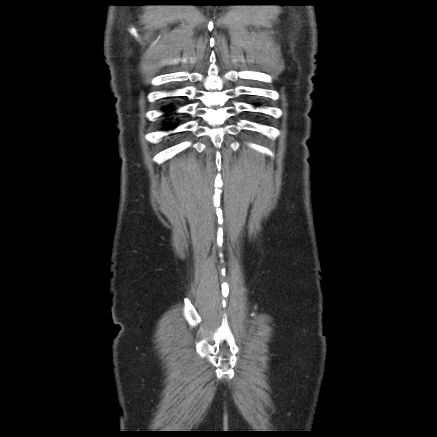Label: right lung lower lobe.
<instances>
[{"instance_id":"obj_1","label":"right lung lower lobe","mask_w":437,"mask_h":437,"mask_svg":"<svg viewBox=\"0 0 437 437\" xmlns=\"http://www.w3.org/2000/svg\"><path fill=\"white\" fill-rule=\"evenodd\" d=\"M173 109H174V107L172 106V104H169L168 106L162 107V110L166 113L165 116H170V113L172 112ZM177 125H178V121H176L174 124L167 123L165 126H166V129L167 128L174 129L175 127H177Z\"/></svg>"}]
</instances>
